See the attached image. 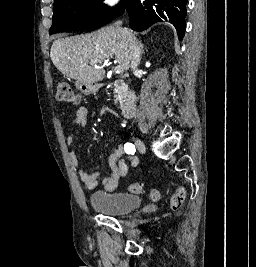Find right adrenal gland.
<instances>
[{
	"label": "right adrenal gland",
	"mask_w": 256,
	"mask_h": 267,
	"mask_svg": "<svg viewBox=\"0 0 256 267\" xmlns=\"http://www.w3.org/2000/svg\"><path fill=\"white\" fill-rule=\"evenodd\" d=\"M139 46H140V52H141V54H144V46H143V44H139Z\"/></svg>",
	"instance_id": "1"
}]
</instances>
